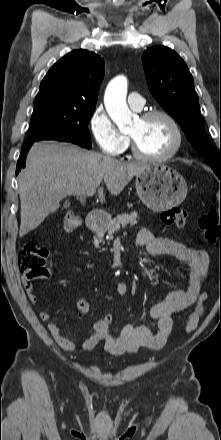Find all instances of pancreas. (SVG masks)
Here are the masks:
<instances>
[{"mask_svg": "<svg viewBox=\"0 0 221 440\" xmlns=\"http://www.w3.org/2000/svg\"><path fill=\"white\" fill-rule=\"evenodd\" d=\"M138 218V214L135 211L117 215L115 218L109 221L104 229H100L96 232L97 236L95 237V240L102 241L106 231H108V234L111 238L115 232L121 229V227H126L127 225L133 226L137 224Z\"/></svg>", "mask_w": 221, "mask_h": 440, "instance_id": "cf45deb5", "label": "pancreas"}]
</instances>
